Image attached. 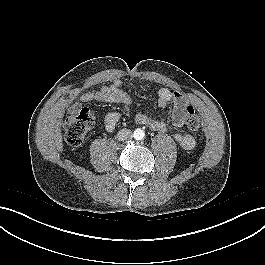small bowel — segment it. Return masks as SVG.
Returning a JSON list of instances; mask_svg holds the SVG:
<instances>
[{
    "instance_id": "c3829d8e",
    "label": "small bowel",
    "mask_w": 265,
    "mask_h": 265,
    "mask_svg": "<svg viewBox=\"0 0 265 265\" xmlns=\"http://www.w3.org/2000/svg\"><path fill=\"white\" fill-rule=\"evenodd\" d=\"M81 102L89 103L93 101L128 105L131 98L127 92L123 90V83L120 79H115L110 85L99 86L79 95ZM158 105L162 110H166L171 106L170 121L175 127H182L185 122L186 108L190 106V99L187 95L171 91L168 88H161L158 91ZM73 109L75 106L72 107ZM119 121V114L110 113L104 120V129L111 132L116 127ZM137 124L149 127L155 131L163 132L167 127V120L155 119L145 114H137L135 116ZM174 138L178 145L184 150H191L195 141L194 138L186 132H177Z\"/></svg>"
}]
</instances>
